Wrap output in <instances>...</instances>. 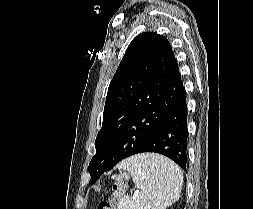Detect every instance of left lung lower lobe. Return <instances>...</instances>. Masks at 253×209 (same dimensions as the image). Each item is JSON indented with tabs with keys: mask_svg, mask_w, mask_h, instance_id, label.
Listing matches in <instances>:
<instances>
[{
	"mask_svg": "<svg viewBox=\"0 0 253 209\" xmlns=\"http://www.w3.org/2000/svg\"><path fill=\"white\" fill-rule=\"evenodd\" d=\"M187 139L186 92L182 84L168 116L135 154L160 153L187 172Z\"/></svg>",
	"mask_w": 253,
	"mask_h": 209,
	"instance_id": "0a47b994",
	"label": "left lung lower lobe"
}]
</instances>
